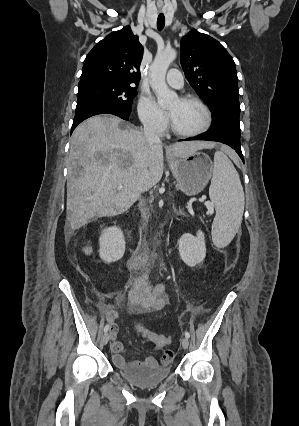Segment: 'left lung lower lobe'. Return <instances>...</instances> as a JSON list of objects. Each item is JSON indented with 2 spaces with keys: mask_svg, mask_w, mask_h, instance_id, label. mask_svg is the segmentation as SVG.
Returning a JSON list of instances; mask_svg holds the SVG:
<instances>
[{
  "mask_svg": "<svg viewBox=\"0 0 299 426\" xmlns=\"http://www.w3.org/2000/svg\"><path fill=\"white\" fill-rule=\"evenodd\" d=\"M188 140H208V141H216V142L227 144L233 149H235V151L238 153L240 158L244 161L243 154L241 151L240 137L234 134L227 133V132L208 131L204 134L185 139V141H188Z\"/></svg>",
  "mask_w": 299,
  "mask_h": 426,
  "instance_id": "left-lung-lower-lobe-1",
  "label": "left lung lower lobe"
}]
</instances>
